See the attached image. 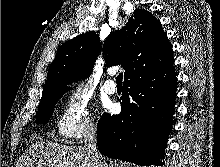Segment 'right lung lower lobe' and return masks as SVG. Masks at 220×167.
Segmentation results:
<instances>
[{
  "label": "right lung lower lobe",
  "instance_id": "1",
  "mask_svg": "<svg viewBox=\"0 0 220 167\" xmlns=\"http://www.w3.org/2000/svg\"><path fill=\"white\" fill-rule=\"evenodd\" d=\"M174 60L124 79L121 113H104L97 126L101 154L128 162L162 165L173 124L177 79Z\"/></svg>",
  "mask_w": 220,
  "mask_h": 167
}]
</instances>
